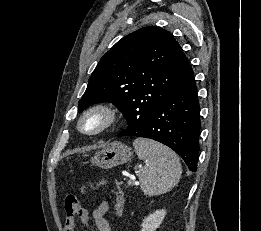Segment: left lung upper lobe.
I'll use <instances>...</instances> for the list:
<instances>
[{"mask_svg":"<svg viewBox=\"0 0 261 231\" xmlns=\"http://www.w3.org/2000/svg\"><path fill=\"white\" fill-rule=\"evenodd\" d=\"M194 74L179 43L160 27H143L118 41L97 64L78 111L112 102L128 126L143 124Z\"/></svg>","mask_w":261,"mask_h":231,"instance_id":"1","label":"left lung upper lobe"}]
</instances>
